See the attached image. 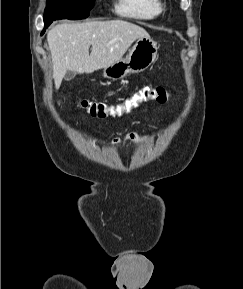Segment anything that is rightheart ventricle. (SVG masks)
<instances>
[{
	"instance_id": "obj_1",
	"label": "right heart ventricle",
	"mask_w": 243,
	"mask_h": 289,
	"mask_svg": "<svg viewBox=\"0 0 243 289\" xmlns=\"http://www.w3.org/2000/svg\"><path fill=\"white\" fill-rule=\"evenodd\" d=\"M114 11L122 17L152 20L161 12L160 0H115Z\"/></svg>"
}]
</instances>
